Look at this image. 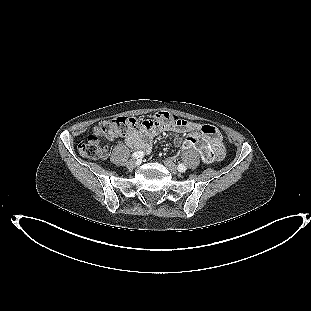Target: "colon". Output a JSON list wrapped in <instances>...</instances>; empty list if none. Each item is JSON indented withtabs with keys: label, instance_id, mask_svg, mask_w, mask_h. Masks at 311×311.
Wrapping results in <instances>:
<instances>
[{
	"label": "colon",
	"instance_id": "1",
	"mask_svg": "<svg viewBox=\"0 0 311 311\" xmlns=\"http://www.w3.org/2000/svg\"><path fill=\"white\" fill-rule=\"evenodd\" d=\"M164 124L186 127L188 126V121L165 111L157 112L153 120L131 116H121L109 120H103L96 126L94 132L88 135L86 140L80 144L79 151L84 157L99 159L104 157L107 153L106 146L101 142L102 138L114 139L132 133L137 127ZM188 142L199 149L200 154L205 161L210 162L215 159L214 151L200 136L193 135L188 138ZM223 154L224 150L222 156Z\"/></svg>",
	"mask_w": 311,
	"mask_h": 311
}]
</instances>
